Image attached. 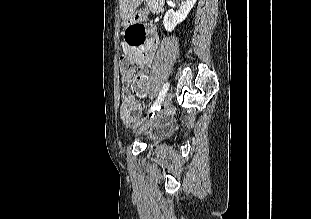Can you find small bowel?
I'll list each match as a JSON object with an SVG mask.
<instances>
[{
    "instance_id": "c3829d8e",
    "label": "small bowel",
    "mask_w": 311,
    "mask_h": 219,
    "mask_svg": "<svg viewBox=\"0 0 311 219\" xmlns=\"http://www.w3.org/2000/svg\"><path fill=\"white\" fill-rule=\"evenodd\" d=\"M158 45V39L154 35L153 31H149V36L145 37V31L140 41L136 43L125 42L122 46L123 54L131 57L135 63L141 69V77L147 79V75L143 71V68L149 66L155 56V51ZM130 81L129 75L122 77V104L120 106V119L122 122L129 126L135 127L139 121L143 112V104L137 99L134 92L128 89V83ZM167 123H162L154 135L162 134L167 131Z\"/></svg>"
}]
</instances>
